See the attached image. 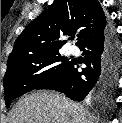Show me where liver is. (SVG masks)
Wrapping results in <instances>:
<instances>
[{"mask_svg": "<svg viewBox=\"0 0 122 123\" xmlns=\"http://www.w3.org/2000/svg\"><path fill=\"white\" fill-rule=\"evenodd\" d=\"M83 105L58 92L39 90L20 99L10 117V123H94Z\"/></svg>", "mask_w": 122, "mask_h": 123, "instance_id": "liver-1", "label": "liver"}]
</instances>
